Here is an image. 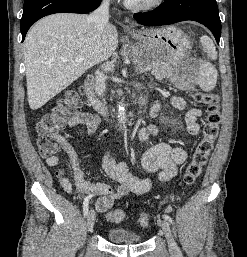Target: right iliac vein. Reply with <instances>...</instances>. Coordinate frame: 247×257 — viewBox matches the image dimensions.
<instances>
[{"instance_id":"obj_1","label":"right iliac vein","mask_w":247,"mask_h":257,"mask_svg":"<svg viewBox=\"0 0 247 257\" xmlns=\"http://www.w3.org/2000/svg\"><path fill=\"white\" fill-rule=\"evenodd\" d=\"M96 213L93 209H91L87 215V230L90 232L95 224Z\"/></svg>"}]
</instances>
